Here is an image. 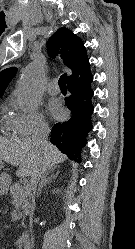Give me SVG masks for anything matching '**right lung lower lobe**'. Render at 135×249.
Segmentation results:
<instances>
[{"label":"right lung lower lobe","instance_id":"obj_1","mask_svg":"<svg viewBox=\"0 0 135 249\" xmlns=\"http://www.w3.org/2000/svg\"><path fill=\"white\" fill-rule=\"evenodd\" d=\"M92 81L93 75L90 74L83 80L68 84L70 95L65 103L71 112L70 118L55 124L51 132V142L77 162H81V149L86 145V136L92 129Z\"/></svg>","mask_w":135,"mask_h":249}]
</instances>
